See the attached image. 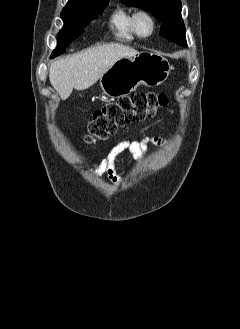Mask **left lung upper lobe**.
<instances>
[{"label": "left lung upper lobe", "mask_w": 240, "mask_h": 329, "mask_svg": "<svg viewBox=\"0 0 240 329\" xmlns=\"http://www.w3.org/2000/svg\"><path fill=\"white\" fill-rule=\"evenodd\" d=\"M129 6L151 11L162 22L160 35L180 45H186L185 26L181 18L180 0H123Z\"/></svg>", "instance_id": "5c2ea615"}]
</instances>
